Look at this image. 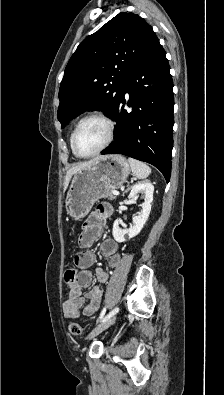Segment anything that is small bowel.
<instances>
[{
  "mask_svg": "<svg viewBox=\"0 0 224 395\" xmlns=\"http://www.w3.org/2000/svg\"><path fill=\"white\" fill-rule=\"evenodd\" d=\"M111 213L112 208L109 204H100L85 222L79 240L84 250L74 257V262L80 271L77 273L75 285L70 291L69 298L63 304L66 318L78 317L81 309H83L85 316H91L99 308L102 297L100 287L93 286L84 295L83 289L88 288L92 283L93 276L89 268L96 262L95 253L89 248L101 237L106 219ZM100 253L111 268H115L121 260L118 244L112 239L103 240L100 245ZM95 276L98 283H105L108 280V273L102 267L96 269Z\"/></svg>",
  "mask_w": 224,
  "mask_h": 395,
  "instance_id": "small-bowel-1",
  "label": "small bowel"
}]
</instances>
